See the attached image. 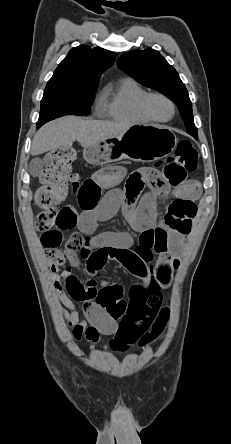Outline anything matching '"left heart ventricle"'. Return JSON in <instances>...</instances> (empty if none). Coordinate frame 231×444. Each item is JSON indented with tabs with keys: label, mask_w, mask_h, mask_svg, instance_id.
Listing matches in <instances>:
<instances>
[{
	"label": "left heart ventricle",
	"mask_w": 231,
	"mask_h": 444,
	"mask_svg": "<svg viewBox=\"0 0 231 444\" xmlns=\"http://www.w3.org/2000/svg\"><path fill=\"white\" fill-rule=\"evenodd\" d=\"M149 110L155 117L160 119H167L172 113L170 104L159 97L152 98L149 101Z\"/></svg>",
	"instance_id": "obj_1"
}]
</instances>
